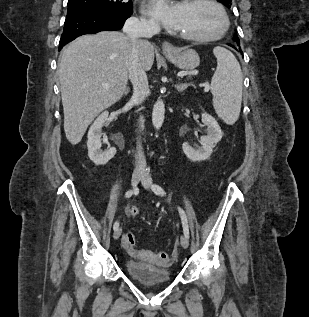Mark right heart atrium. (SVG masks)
Returning a JSON list of instances; mask_svg holds the SVG:
<instances>
[{"mask_svg":"<svg viewBox=\"0 0 309 317\" xmlns=\"http://www.w3.org/2000/svg\"><path fill=\"white\" fill-rule=\"evenodd\" d=\"M139 22L146 29H155L157 27V24L153 20L141 18Z\"/></svg>","mask_w":309,"mask_h":317,"instance_id":"d8ad5b80","label":"right heart atrium"}]
</instances>
